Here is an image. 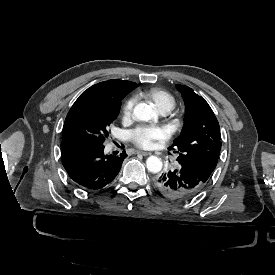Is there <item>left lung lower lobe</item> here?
Returning a JSON list of instances; mask_svg holds the SVG:
<instances>
[{
    "instance_id": "1",
    "label": "left lung lower lobe",
    "mask_w": 275,
    "mask_h": 275,
    "mask_svg": "<svg viewBox=\"0 0 275 275\" xmlns=\"http://www.w3.org/2000/svg\"><path fill=\"white\" fill-rule=\"evenodd\" d=\"M154 185L164 197L170 200H188L197 195L205 183L186 169L179 167L157 177Z\"/></svg>"
}]
</instances>
